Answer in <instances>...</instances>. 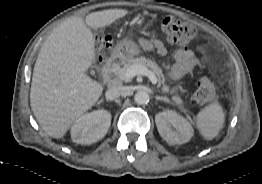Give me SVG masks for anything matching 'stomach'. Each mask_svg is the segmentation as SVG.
Segmentation results:
<instances>
[{"instance_id":"0dacf381","label":"stomach","mask_w":262,"mask_h":184,"mask_svg":"<svg viewBox=\"0 0 262 184\" xmlns=\"http://www.w3.org/2000/svg\"><path fill=\"white\" fill-rule=\"evenodd\" d=\"M152 25V22H147L145 28H148ZM140 53V48L132 40L124 39L120 41L112 51V59H119L120 61H126L133 58L134 56Z\"/></svg>"}]
</instances>
